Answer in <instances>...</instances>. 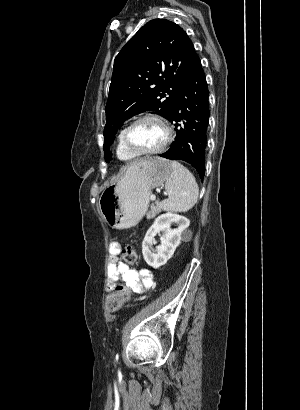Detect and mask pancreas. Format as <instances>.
Wrapping results in <instances>:
<instances>
[{
    "mask_svg": "<svg viewBox=\"0 0 300 410\" xmlns=\"http://www.w3.org/2000/svg\"><path fill=\"white\" fill-rule=\"evenodd\" d=\"M161 210V203L159 201H155L151 204L150 210L147 212L146 217L147 219L154 218Z\"/></svg>",
    "mask_w": 300,
    "mask_h": 410,
    "instance_id": "pancreas-1",
    "label": "pancreas"
}]
</instances>
